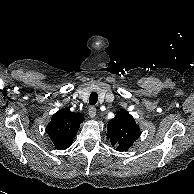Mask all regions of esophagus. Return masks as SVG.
<instances>
[{
    "instance_id": "esophagus-1",
    "label": "esophagus",
    "mask_w": 194,
    "mask_h": 194,
    "mask_svg": "<svg viewBox=\"0 0 194 194\" xmlns=\"http://www.w3.org/2000/svg\"><path fill=\"white\" fill-rule=\"evenodd\" d=\"M88 114L91 118H94L96 116V108L94 106H91L88 110Z\"/></svg>"
}]
</instances>
